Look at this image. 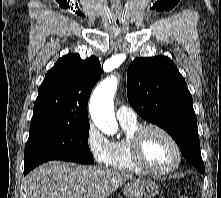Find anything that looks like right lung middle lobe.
Segmentation results:
<instances>
[{"mask_svg": "<svg viewBox=\"0 0 221 198\" xmlns=\"http://www.w3.org/2000/svg\"><path fill=\"white\" fill-rule=\"evenodd\" d=\"M89 122H38L30 126L24 151V171L41 163L59 159L81 164L94 163L88 146Z\"/></svg>", "mask_w": 221, "mask_h": 198, "instance_id": "obj_1", "label": "right lung middle lobe"}]
</instances>
